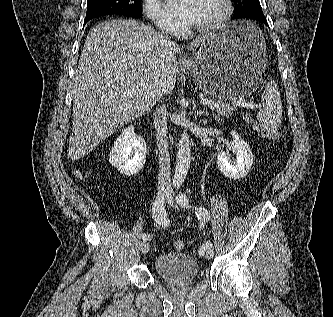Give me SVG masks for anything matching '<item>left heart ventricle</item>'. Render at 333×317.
<instances>
[{
  "instance_id": "b2bd125f",
  "label": "left heart ventricle",
  "mask_w": 333,
  "mask_h": 317,
  "mask_svg": "<svg viewBox=\"0 0 333 317\" xmlns=\"http://www.w3.org/2000/svg\"><path fill=\"white\" fill-rule=\"evenodd\" d=\"M219 12L218 0H198L197 11L192 26H203L209 23Z\"/></svg>"
}]
</instances>
